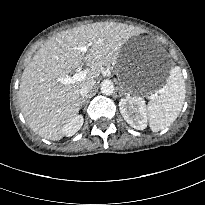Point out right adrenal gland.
I'll return each instance as SVG.
<instances>
[{
	"instance_id": "right-adrenal-gland-1",
	"label": "right adrenal gland",
	"mask_w": 205,
	"mask_h": 205,
	"mask_svg": "<svg viewBox=\"0 0 205 205\" xmlns=\"http://www.w3.org/2000/svg\"><path fill=\"white\" fill-rule=\"evenodd\" d=\"M85 101H86V99H85V98H82L81 103H80V106H83V105L85 104Z\"/></svg>"
}]
</instances>
